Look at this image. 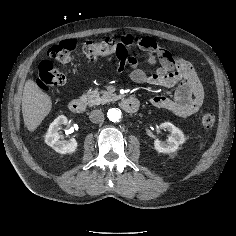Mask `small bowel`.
Masks as SVG:
<instances>
[{
  "label": "small bowel",
  "mask_w": 236,
  "mask_h": 236,
  "mask_svg": "<svg viewBox=\"0 0 236 236\" xmlns=\"http://www.w3.org/2000/svg\"><path fill=\"white\" fill-rule=\"evenodd\" d=\"M127 49L135 45L150 54L148 65L150 72H145L138 66V60L129 56L118 57L120 62L118 72L126 65L131 69L130 79L138 84L148 83L166 88L177 87L173 97L157 95L151 99V104L173 112L180 117H189L197 113L204 101L203 86L191 63L182 57L161 48L151 37H141L133 34L123 35L119 41ZM157 61L160 67L155 68Z\"/></svg>",
  "instance_id": "c3829d8e"
}]
</instances>
